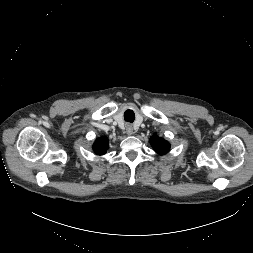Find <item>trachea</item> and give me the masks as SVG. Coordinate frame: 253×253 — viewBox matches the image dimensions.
<instances>
[{
  "instance_id": "obj_1",
  "label": "trachea",
  "mask_w": 253,
  "mask_h": 253,
  "mask_svg": "<svg viewBox=\"0 0 253 253\" xmlns=\"http://www.w3.org/2000/svg\"><path fill=\"white\" fill-rule=\"evenodd\" d=\"M124 119L127 122L133 123L134 120H135V114H134V112L132 110H129V109L126 110L124 112Z\"/></svg>"
}]
</instances>
